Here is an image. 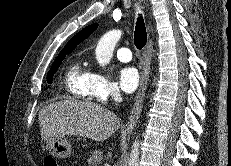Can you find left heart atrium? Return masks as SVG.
Wrapping results in <instances>:
<instances>
[{
  "mask_svg": "<svg viewBox=\"0 0 231 166\" xmlns=\"http://www.w3.org/2000/svg\"><path fill=\"white\" fill-rule=\"evenodd\" d=\"M119 86L127 93L133 92L139 84L138 71L133 67H124L119 71Z\"/></svg>",
  "mask_w": 231,
  "mask_h": 166,
  "instance_id": "obj_1",
  "label": "left heart atrium"
}]
</instances>
